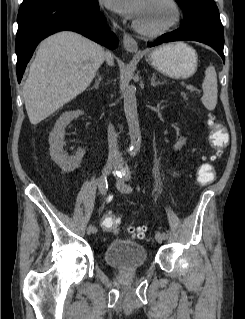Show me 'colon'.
Wrapping results in <instances>:
<instances>
[{"mask_svg":"<svg viewBox=\"0 0 245 319\" xmlns=\"http://www.w3.org/2000/svg\"><path fill=\"white\" fill-rule=\"evenodd\" d=\"M206 126L209 130V142L211 149L216 155H219L228 144V137L225 128L215 119L214 116H208L206 119ZM216 176L215 168L210 163L202 164L197 170V181L206 185L211 183ZM122 219L121 215L108 214L102 220V227L104 230L117 234L119 232V224ZM128 232L132 237L143 238L145 234L144 227H129Z\"/></svg>","mask_w":245,"mask_h":319,"instance_id":"5ec220e1","label":"colon"}]
</instances>
